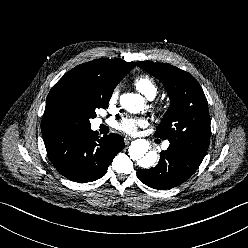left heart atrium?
Wrapping results in <instances>:
<instances>
[{"label":"left heart atrium","mask_w":248,"mask_h":248,"mask_svg":"<svg viewBox=\"0 0 248 248\" xmlns=\"http://www.w3.org/2000/svg\"><path fill=\"white\" fill-rule=\"evenodd\" d=\"M146 121L144 119H123L117 124V128L127 134H135L139 126H144Z\"/></svg>","instance_id":"39dd6f15"}]
</instances>
